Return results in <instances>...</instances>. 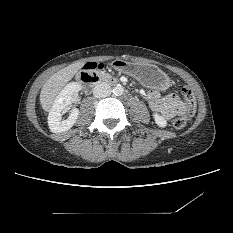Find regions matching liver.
<instances>
[{
    "label": "liver",
    "mask_w": 233,
    "mask_h": 233,
    "mask_svg": "<svg viewBox=\"0 0 233 233\" xmlns=\"http://www.w3.org/2000/svg\"><path fill=\"white\" fill-rule=\"evenodd\" d=\"M84 66V62H75L52 75L40 92V103L44 111L49 112L63 87Z\"/></svg>",
    "instance_id": "liver-1"
}]
</instances>
